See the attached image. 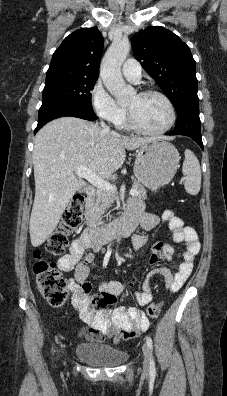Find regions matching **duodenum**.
Returning a JSON list of instances; mask_svg holds the SVG:
<instances>
[{"instance_id":"1","label":"duodenum","mask_w":227,"mask_h":396,"mask_svg":"<svg viewBox=\"0 0 227 396\" xmlns=\"http://www.w3.org/2000/svg\"><path fill=\"white\" fill-rule=\"evenodd\" d=\"M96 196V189L88 187L85 193V202L89 205ZM137 226L134 217L127 215L123 220L110 223L103 227H90L85 233L89 245L93 248H100L104 243L113 240L119 235L132 233Z\"/></svg>"}]
</instances>
